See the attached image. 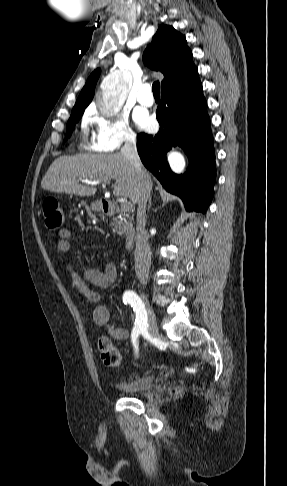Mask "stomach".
Here are the masks:
<instances>
[{"mask_svg": "<svg viewBox=\"0 0 287 486\" xmlns=\"http://www.w3.org/2000/svg\"><path fill=\"white\" fill-rule=\"evenodd\" d=\"M91 208L93 211H100L101 210V205L99 201H95L91 204Z\"/></svg>", "mask_w": 287, "mask_h": 486, "instance_id": "obj_1", "label": "stomach"}]
</instances>
